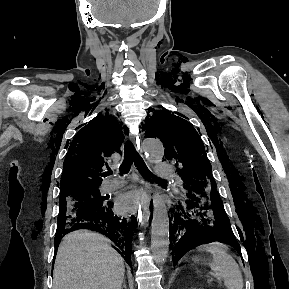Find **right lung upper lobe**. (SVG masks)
Here are the masks:
<instances>
[{
    "label": "right lung upper lobe",
    "instance_id": "1",
    "mask_svg": "<svg viewBox=\"0 0 289 289\" xmlns=\"http://www.w3.org/2000/svg\"><path fill=\"white\" fill-rule=\"evenodd\" d=\"M121 130L117 119L105 112L77 133L63 164L61 196L99 189L102 167L113 152H120L124 140Z\"/></svg>",
    "mask_w": 289,
    "mask_h": 289
}]
</instances>
